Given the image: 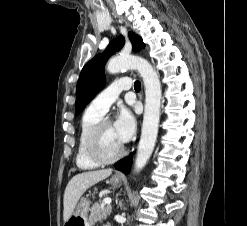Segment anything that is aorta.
Wrapping results in <instances>:
<instances>
[{"label": "aorta", "instance_id": "obj_1", "mask_svg": "<svg viewBox=\"0 0 247 226\" xmlns=\"http://www.w3.org/2000/svg\"><path fill=\"white\" fill-rule=\"evenodd\" d=\"M123 69H134L143 78L145 87V108L141 138L135 160V170H142L149 160L156 143L160 120L161 83L152 65L138 56H118L107 64V71L111 74Z\"/></svg>", "mask_w": 247, "mask_h": 226}]
</instances>
